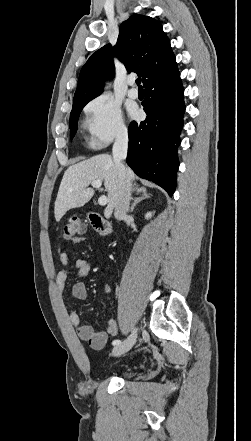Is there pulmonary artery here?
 I'll return each instance as SVG.
<instances>
[{
	"mask_svg": "<svg viewBox=\"0 0 251 441\" xmlns=\"http://www.w3.org/2000/svg\"><path fill=\"white\" fill-rule=\"evenodd\" d=\"M128 84L130 86L128 90V96L132 99H136L138 97V90L135 88V79L130 77L128 79Z\"/></svg>",
	"mask_w": 251,
	"mask_h": 441,
	"instance_id": "1",
	"label": "pulmonary artery"
}]
</instances>
